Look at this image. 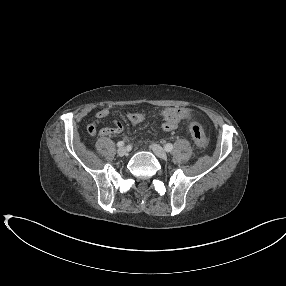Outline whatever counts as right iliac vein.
Segmentation results:
<instances>
[{
	"label": "right iliac vein",
	"instance_id": "1",
	"mask_svg": "<svg viewBox=\"0 0 286 286\" xmlns=\"http://www.w3.org/2000/svg\"><path fill=\"white\" fill-rule=\"evenodd\" d=\"M117 154L121 157L123 156H126L128 154V151L125 147H120L118 150H117Z\"/></svg>",
	"mask_w": 286,
	"mask_h": 286
}]
</instances>
